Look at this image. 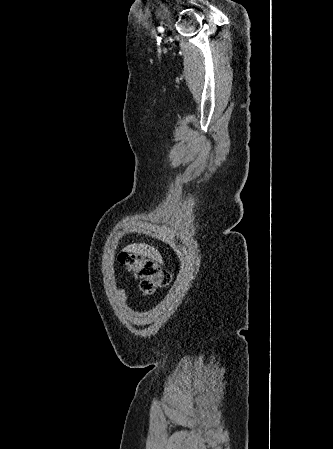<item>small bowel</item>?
Masks as SVG:
<instances>
[{"mask_svg": "<svg viewBox=\"0 0 333 449\" xmlns=\"http://www.w3.org/2000/svg\"><path fill=\"white\" fill-rule=\"evenodd\" d=\"M117 296H118L119 302L122 305H125L127 303L126 291L123 288H120L117 290Z\"/></svg>", "mask_w": 333, "mask_h": 449, "instance_id": "1", "label": "small bowel"}]
</instances>
